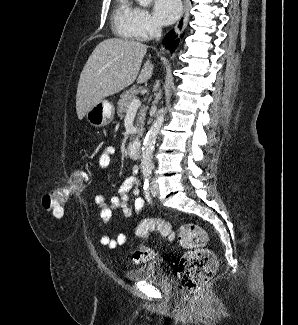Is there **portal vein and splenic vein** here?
Returning <instances> with one entry per match:
<instances>
[{"label": "portal vein and splenic vein", "instance_id": "portal-vein-and-splenic-vein-1", "mask_svg": "<svg viewBox=\"0 0 298 325\" xmlns=\"http://www.w3.org/2000/svg\"><path fill=\"white\" fill-rule=\"evenodd\" d=\"M142 102L140 98H133L132 102H130L128 108H127V114H130V112H137L139 106H141Z\"/></svg>", "mask_w": 298, "mask_h": 325}]
</instances>
